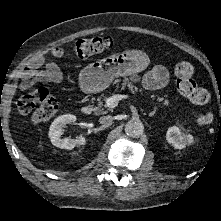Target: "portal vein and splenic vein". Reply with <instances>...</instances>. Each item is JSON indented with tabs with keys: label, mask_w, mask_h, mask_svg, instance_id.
I'll list each match as a JSON object with an SVG mask.
<instances>
[{
	"label": "portal vein and splenic vein",
	"mask_w": 221,
	"mask_h": 221,
	"mask_svg": "<svg viewBox=\"0 0 221 221\" xmlns=\"http://www.w3.org/2000/svg\"><path fill=\"white\" fill-rule=\"evenodd\" d=\"M128 98V95H114L110 98L107 99L106 103L107 105L110 107V108H114L118 105V102L122 99H127Z\"/></svg>",
	"instance_id": "portal-vein-and-splenic-vein-1"
}]
</instances>
